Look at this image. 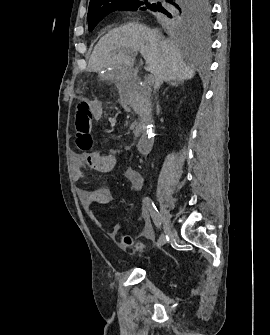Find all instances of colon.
<instances>
[{
	"instance_id": "obj_1",
	"label": "colon",
	"mask_w": 270,
	"mask_h": 335,
	"mask_svg": "<svg viewBox=\"0 0 270 335\" xmlns=\"http://www.w3.org/2000/svg\"><path fill=\"white\" fill-rule=\"evenodd\" d=\"M80 110L78 111L79 116H75V123H77V127L75 128L76 134H84L86 137H89L87 141H78V148H87V146H91L93 143L92 138L90 137V123H93V115L91 110L87 108V101H80L79 103ZM84 108V109H82ZM123 246L126 248H141L142 243L140 241L133 240L132 238L126 236L122 242Z\"/></svg>"
}]
</instances>
